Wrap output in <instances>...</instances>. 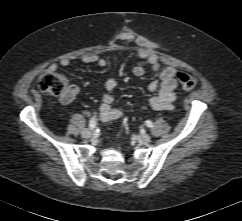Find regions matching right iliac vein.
I'll return each instance as SVG.
<instances>
[{
    "label": "right iliac vein",
    "mask_w": 242,
    "mask_h": 221,
    "mask_svg": "<svg viewBox=\"0 0 242 221\" xmlns=\"http://www.w3.org/2000/svg\"><path fill=\"white\" fill-rule=\"evenodd\" d=\"M91 135H92V131L89 129H85L82 131V137H84V138H89V137H91Z\"/></svg>",
    "instance_id": "right-iliac-vein-1"
}]
</instances>
